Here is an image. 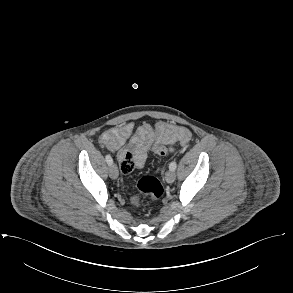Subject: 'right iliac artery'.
I'll return each mask as SVG.
<instances>
[{"label":"right iliac artery","instance_id":"82829eb1","mask_svg":"<svg viewBox=\"0 0 293 293\" xmlns=\"http://www.w3.org/2000/svg\"><path fill=\"white\" fill-rule=\"evenodd\" d=\"M105 159H106V162L108 163V165H111L113 163V159L110 155H106Z\"/></svg>","mask_w":293,"mask_h":293}]
</instances>
